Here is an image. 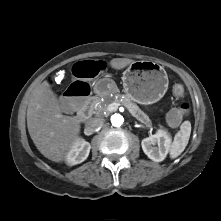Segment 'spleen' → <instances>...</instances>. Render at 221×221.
<instances>
[{
    "instance_id": "obj_1",
    "label": "spleen",
    "mask_w": 221,
    "mask_h": 221,
    "mask_svg": "<svg viewBox=\"0 0 221 221\" xmlns=\"http://www.w3.org/2000/svg\"><path fill=\"white\" fill-rule=\"evenodd\" d=\"M191 134V123L184 121L180 126V131L174 137V141L170 148V157L172 159L178 157L186 148Z\"/></svg>"
}]
</instances>
